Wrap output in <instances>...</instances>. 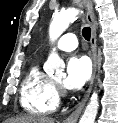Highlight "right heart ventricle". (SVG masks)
<instances>
[{"mask_svg":"<svg viewBox=\"0 0 118 123\" xmlns=\"http://www.w3.org/2000/svg\"><path fill=\"white\" fill-rule=\"evenodd\" d=\"M20 103L27 112L35 115L53 113L59 99L53 81L34 63L27 71L20 90Z\"/></svg>","mask_w":118,"mask_h":123,"instance_id":"right-heart-ventricle-1","label":"right heart ventricle"}]
</instances>
